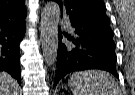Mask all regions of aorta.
Listing matches in <instances>:
<instances>
[{"instance_id": "obj_1", "label": "aorta", "mask_w": 135, "mask_h": 95, "mask_svg": "<svg viewBox=\"0 0 135 95\" xmlns=\"http://www.w3.org/2000/svg\"><path fill=\"white\" fill-rule=\"evenodd\" d=\"M59 20V5L53 1L48 2L41 15L42 51L48 66L57 60Z\"/></svg>"}]
</instances>
